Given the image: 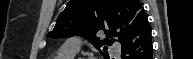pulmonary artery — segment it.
Returning a JSON list of instances; mask_svg holds the SVG:
<instances>
[{"instance_id": "obj_1", "label": "pulmonary artery", "mask_w": 193, "mask_h": 59, "mask_svg": "<svg viewBox=\"0 0 193 59\" xmlns=\"http://www.w3.org/2000/svg\"><path fill=\"white\" fill-rule=\"evenodd\" d=\"M63 48L66 49V50H69V51H72L74 53H77L80 49V44L79 43H76L74 42V39H70L68 40L64 45H63ZM119 53V50H116L115 51V54H118Z\"/></svg>"}]
</instances>
